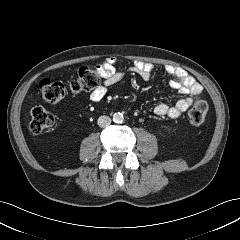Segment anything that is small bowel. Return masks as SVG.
<instances>
[{
  "label": "small bowel",
  "instance_id": "obj_1",
  "mask_svg": "<svg viewBox=\"0 0 240 240\" xmlns=\"http://www.w3.org/2000/svg\"><path fill=\"white\" fill-rule=\"evenodd\" d=\"M117 57L110 56L97 66L103 82L95 88L90 99L94 102L100 101L107 94L108 89L119 83L125 77L126 73H133L144 80H149L154 73V66L143 61H135L127 72L116 69ZM166 73L171 77L170 86L177 90L183 97L177 99L173 104L158 103L154 107V113L158 116H169L171 118L179 117L193 103V98L202 92V86L182 68L166 65Z\"/></svg>",
  "mask_w": 240,
  "mask_h": 240
}]
</instances>
